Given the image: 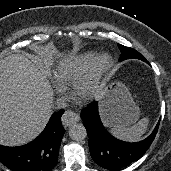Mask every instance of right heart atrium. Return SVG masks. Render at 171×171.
Listing matches in <instances>:
<instances>
[{
  "mask_svg": "<svg viewBox=\"0 0 171 171\" xmlns=\"http://www.w3.org/2000/svg\"><path fill=\"white\" fill-rule=\"evenodd\" d=\"M57 89H58L59 91H62V90H63V87L58 86Z\"/></svg>",
  "mask_w": 171,
  "mask_h": 171,
  "instance_id": "obj_1",
  "label": "right heart atrium"
}]
</instances>
